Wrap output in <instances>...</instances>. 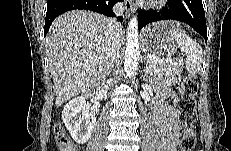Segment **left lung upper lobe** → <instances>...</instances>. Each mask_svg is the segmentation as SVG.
Masks as SVG:
<instances>
[{"label":"left lung upper lobe","mask_w":231,"mask_h":151,"mask_svg":"<svg viewBox=\"0 0 231 151\" xmlns=\"http://www.w3.org/2000/svg\"><path fill=\"white\" fill-rule=\"evenodd\" d=\"M181 0H168V6L170 7H174L176 6L178 3H180Z\"/></svg>","instance_id":"1"}]
</instances>
